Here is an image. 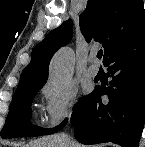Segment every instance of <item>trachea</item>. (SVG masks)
<instances>
[{"label":"trachea","instance_id":"1","mask_svg":"<svg viewBox=\"0 0 145 147\" xmlns=\"http://www.w3.org/2000/svg\"><path fill=\"white\" fill-rule=\"evenodd\" d=\"M102 55H103V51L100 50V51L98 52V54H97V57H98L99 59H101Z\"/></svg>","mask_w":145,"mask_h":147}]
</instances>
